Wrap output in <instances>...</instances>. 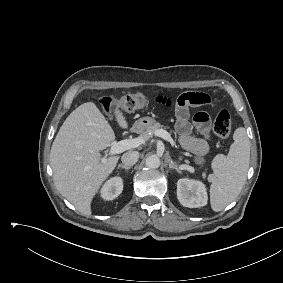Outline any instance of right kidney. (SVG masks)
<instances>
[{"instance_id": "right-kidney-1", "label": "right kidney", "mask_w": 283, "mask_h": 283, "mask_svg": "<svg viewBox=\"0 0 283 283\" xmlns=\"http://www.w3.org/2000/svg\"><path fill=\"white\" fill-rule=\"evenodd\" d=\"M122 190V179L120 177H113L104 184L100 193L104 200H113L121 194Z\"/></svg>"}]
</instances>
